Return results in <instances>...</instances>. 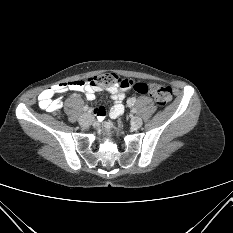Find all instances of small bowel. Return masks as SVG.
Here are the masks:
<instances>
[{"label": "small bowel", "mask_w": 233, "mask_h": 233, "mask_svg": "<svg viewBox=\"0 0 233 233\" xmlns=\"http://www.w3.org/2000/svg\"><path fill=\"white\" fill-rule=\"evenodd\" d=\"M68 90L83 92L88 101H93L95 99V94L103 90V84H97L91 78H88L86 81L77 80L54 85L43 90L39 94V107L49 112L57 111L58 109H60L62 102L60 98H56L55 96L58 94H62ZM106 91L111 95V98L114 102L113 105L110 107L108 113L111 118H118L124 113L123 100L125 98L126 91L117 86L108 87L106 88ZM135 100L136 99L134 97H130L127 100L128 105L132 106L135 103ZM106 114L107 110L103 106H101L92 112V117L97 118L99 121H102L104 120ZM92 127L95 128V133L98 137L104 136V131L101 127H99L98 121H93Z\"/></svg>", "instance_id": "small-bowel-1"}]
</instances>
